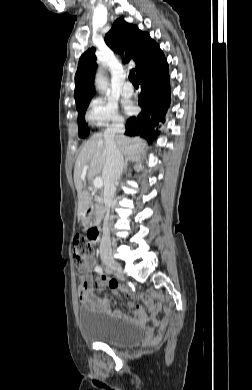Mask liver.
Masks as SVG:
<instances>
[{
	"instance_id": "obj_1",
	"label": "liver",
	"mask_w": 252,
	"mask_h": 390,
	"mask_svg": "<svg viewBox=\"0 0 252 390\" xmlns=\"http://www.w3.org/2000/svg\"><path fill=\"white\" fill-rule=\"evenodd\" d=\"M115 143L122 155L138 158L146 142L139 137L115 136ZM106 162V140L103 133L94 134L83 145L74 167V183L78 194V219L85 214L89 205V196L84 190L85 177L91 179L103 171ZM89 168L84 171V167Z\"/></svg>"
}]
</instances>
